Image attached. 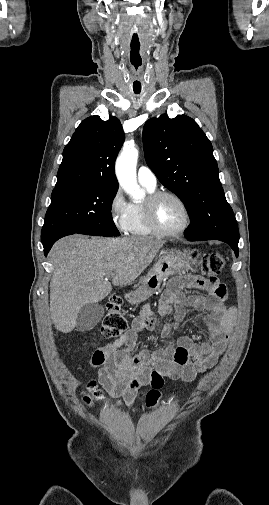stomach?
<instances>
[{
	"label": "stomach",
	"mask_w": 269,
	"mask_h": 505,
	"mask_svg": "<svg viewBox=\"0 0 269 505\" xmlns=\"http://www.w3.org/2000/svg\"><path fill=\"white\" fill-rule=\"evenodd\" d=\"M192 267L193 259L187 252L176 251L162 256L149 270L138 291L132 294L131 302L138 304L158 291L164 279L191 270Z\"/></svg>",
	"instance_id": "1"
}]
</instances>
